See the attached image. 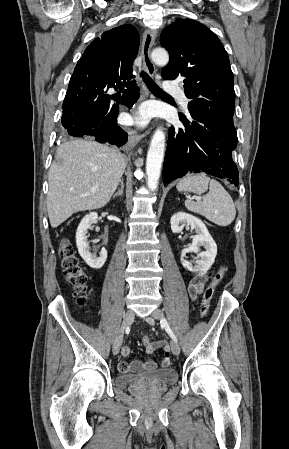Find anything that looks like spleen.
I'll use <instances>...</instances> for the list:
<instances>
[{
    "label": "spleen",
    "mask_w": 289,
    "mask_h": 449,
    "mask_svg": "<svg viewBox=\"0 0 289 449\" xmlns=\"http://www.w3.org/2000/svg\"><path fill=\"white\" fill-rule=\"evenodd\" d=\"M178 191H189L203 195V200L193 201L191 198L185 201L186 208L200 214L209 221L219 225H230L236 216V209L230 194L215 179H210L205 174L187 175L177 184Z\"/></svg>",
    "instance_id": "spleen-1"
}]
</instances>
